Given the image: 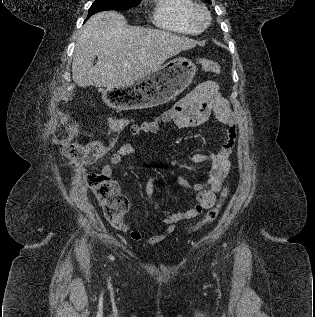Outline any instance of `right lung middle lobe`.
<instances>
[{
	"label": "right lung middle lobe",
	"mask_w": 315,
	"mask_h": 317,
	"mask_svg": "<svg viewBox=\"0 0 315 317\" xmlns=\"http://www.w3.org/2000/svg\"><path fill=\"white\" fill-rule=\"evenodd\" d=\"M140 2L141 0H95L89 8L88 17L103 10H128L139 5Z\"/></svg>",
	"instance_id": "1"
}]
</instances>
